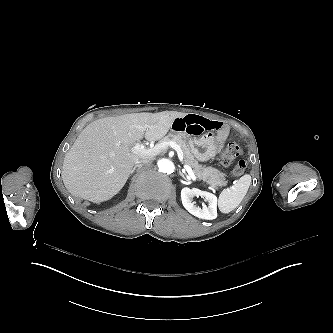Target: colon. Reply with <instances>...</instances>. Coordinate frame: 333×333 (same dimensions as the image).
<instances>
[{
  "label": "colon",
  "instance_id": "colon-1",
  "mask_svg": "<svg viewBox=\"0 0 333 333\" xmlns=\"http://www.w3.org/2000/svg\"><path fill=\"white\" fill-rule=\"evenodd\" d=\"M242 149L237 141L230 142L220 155V163L223 166L229 167L234 160L241 154ZM246 168V163L243 160L238 161L234 167H232V172L235 174H241Z\"/></svg>",
  "mask_w": 333,
  "mask_h": 333
}]
</instances>
